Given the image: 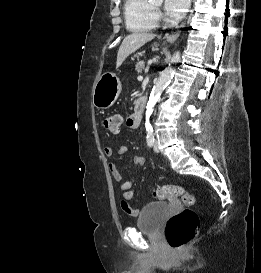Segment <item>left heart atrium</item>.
Here are the masks:
<instances>
[{
	"label": "left heart atrium",
	"mask_w": 261,
	"mask_h": 273,
	"mask_svg": "<svg viewBox=\"0 0 261 273\" xmlns=\"http://www.w3.org/2000/svg\"><path fill=\"white\" fill-rule=\"evenodd\" d=\"M189 1L190 0H165L164 8L167 15L173 20L180 19L188 7Z\"/></svg>",
	"instance_id": "1"
}]
</instances>
